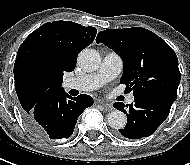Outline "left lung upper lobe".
<instances>
[{
	"label": "left lung upper lobe",
	"instance_id": "obj_1",
	"mask_svg": "<svg viewBox=\"0 0 190 165\" xmlns=\"http://www.w3.org/2000/svg\"><path fill=\"white\" fill-rule=\"evenodd\" d=\"M123 61L120 83L137 97H163L175 101L180 83L174 50L153 32L140 28L101 31L96 38Z\"/></svg>",
	"mask_w": 190,
	"mask_h": 165
}]
</instances>
